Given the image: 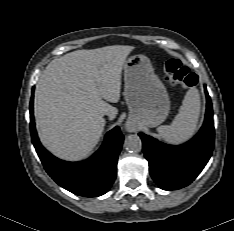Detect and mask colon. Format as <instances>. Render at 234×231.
<instances>
[{
	"mask_svg": "<svg viewBox=\"0 0 234 231\" xmlns=\"http://www.w3.org/2000/svg\"><path fill=\"white\" fill-rule=\"evenodd\" d=\"M165 77L169 83L184 89L193 88L198 82L197 75L174 58L165 62Z\"/></svg>",
	"mask_w": 234,
	"mask_h": 231,
	"instance_id": "obj_1",
	"label": "colon"
}]
</instances>
